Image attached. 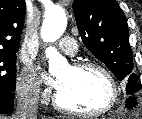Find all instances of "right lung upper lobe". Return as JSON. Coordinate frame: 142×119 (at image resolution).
I'll use <instances>...</instances> for the list:
<instances>
[{"label": "right lung upper lobe", "mask_w": 142, "mask_h": 119, "mask_svg": "<svg viewBox=\"0 0 142 119\" xmlns=\"http://www.w3.org/2000/svg\"><path fill=\"white\" fill-rule=\"evenodd\" d=\"M25 12V0H0V51H18Z\"/></svg>", "instance_id": "obj_1"}]
</instances>
